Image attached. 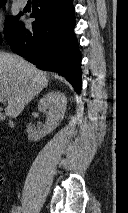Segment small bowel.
<instances>
[{"label":"small bowel","instance_id":"small-bowel-1","mask_svg":"<svg viewBox=\"0 0 128 213\" xmlns=\"http://www.w3.org/2000/svg\"><path fill=\"white\" fill-rule=\"evenodd\" d=\"M4 181V176L0 174V183ZM11 213H21V207L14 206Z\"/></svg>","mask_w":128,"mask_h":213}]
</instances>
